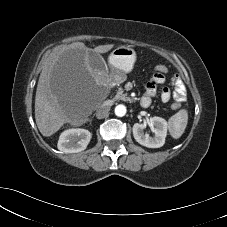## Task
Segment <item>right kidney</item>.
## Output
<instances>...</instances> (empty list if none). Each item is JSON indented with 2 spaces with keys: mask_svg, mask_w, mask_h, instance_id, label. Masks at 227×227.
Returning a JSON list of instances; mask_svg holds the SVG:
<instances>
[{
  "mask_svg": "<svg viewBox=\"0 0 227 227\" xmlns=\"http://www.w3.org/2000/svg\"><path fill=\"white\" fill-rule=\"evenodd\" d=\"M91 133L86 129L72 128L61 133L57 147L64 153H77L86 149L91 139Z\"/></svg>",
  "mask_w": 227,
  "mask_h": 227,
  "instance_id": "1",
  "label": "right kidney"
}]
</instances>
